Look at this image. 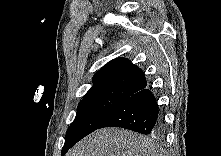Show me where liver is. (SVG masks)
<instances>
[{"label":"liver","mask_w":221,"mask_h":156,"mask_svg":"<svg viewBox=\"0 0 221 156\" xmlns=\"http://www.w3.org/2000/svg\"><path fill=\"white\" fill-rule=\"evenodd\" d=\"M149 137L120 128L99 129L77 143L66 156H160Z\"/></svg>","instance_id":"1"}]
</instances>
